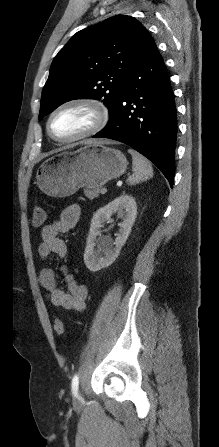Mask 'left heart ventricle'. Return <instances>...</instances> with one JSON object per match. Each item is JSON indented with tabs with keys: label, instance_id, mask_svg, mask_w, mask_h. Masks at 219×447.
Listing matches in <instances>:
<instances>
[{
	"label": "left heart ventricle",
	"instance_id": "obj_1",
	"mask_svg": "<svg viewBox=\"0 0 219 447\" xmlns=\"http://www.w3.org/2000/svg\"><path fill=\"white\" fill-rule=\"evenodd\" d=\"M93 121L94 117L89 110L82 107L68 108L53 118L51 128L56 136L69 138L84 132Z\"/></svg>",
	"mask_w": 219,
	"mask_h": 447
}]
</instances>
